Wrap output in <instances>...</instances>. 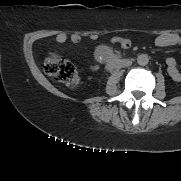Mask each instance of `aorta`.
Segmentation results:
<instances>
[{
	"label": "aorta",
	"instance_id": "762f6f07",
	"mask_svg": "<svg viewBox=\"0 0 181 181\" xmlns=\"http://www.w3.org/2000/svg\"><path fill=\"white\" fill-rule=\"evenodd\" d=\"M149 62V57L147 54H140L138 57H137V63L141 66H145L147 65Z\"/></svg>",
	"mask_w": 181,
	"mask_h": 181
}]
</instances>
